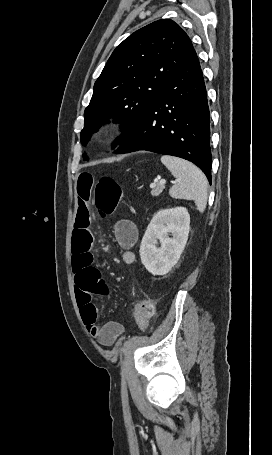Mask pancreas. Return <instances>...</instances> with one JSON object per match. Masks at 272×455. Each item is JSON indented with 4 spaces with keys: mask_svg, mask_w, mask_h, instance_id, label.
<instances>
[{
    "mask_svg": "<svg viewBox=\"0 0 272 455\" xmlns=\"http://www.w3.org/2000/svg\"><path fill=\"white\" fill-rule=\"evenodd\" d=\"M164 189V186H162L160 183H158L151 191V195L153 197L159 196Z\"/></svg>",
    "mask_w": 272,
    "mask_h": 455,
    "instance_id": "obj_1",
    "label": "pancreas"
}]
</instances>
